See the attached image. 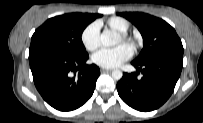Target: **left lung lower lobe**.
I'll return each mask as SVG.
<instances>
[{
    "label": "left lung lower lobe",
    "instance_id": "obj_1",
    "mask_svg": "<svg viewBox=\"0 0 203 123\" xmlns=\"http://www.w3.org/2000/svg\"><path fill=\"white\" fill-rule=\"evenodd\" d=\"M183 56L158 57L132 62L137 71L123 73L117 83L118 94L130 107L148 112L163 105L174 91L182 70ZM141 71L142 78H138Z\"/></svg>",
    "mask_w": 203,
    "mask_h": 123
}]
</instances>
